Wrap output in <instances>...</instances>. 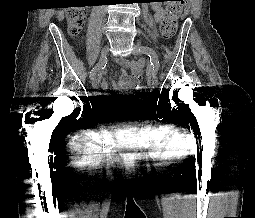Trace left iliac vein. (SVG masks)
<instances>
[{"label":"left iliac vein","mask_w":255,"mask_h":218,"mask_svg":"<svg viewBox=\"0 0 255 218\" xmlns=\"http://www.w3.org/2000/svg\"><path fill=\"white\" fill-rule=\"evenodd\" d=\"M133 53L135 55H141L142 54L141 47L139 45H135ZM157 83H158L157 75L155 73H152L149 77L148 84L150 87L154 88L157 85Z\"/></svg>","instance_id":"left-iliac-vein-1"}]
</instances>
